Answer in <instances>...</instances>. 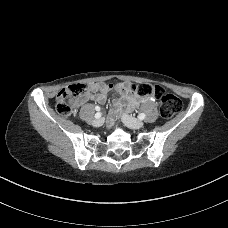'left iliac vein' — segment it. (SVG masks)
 I'll list each match as a JSON object with an SVG mask.
<instances>
[{
  "instance_id": "1",
  "label": "left iliac vein",
  "mask_w": 228,
  "mask_h": 228,
  "mask_svg": "<svg viewBox=\"0 0 228 228\" xmlns=\"http://www.w3.org/2000/svg\"><path fill=\"white\" fill-rule=\"evenodd\" d=\"M122 119L125 122V124L132 129H140L144 126V122L142 120L136 119L127 114H123Z\"/></svg>"
}]
</instances>
